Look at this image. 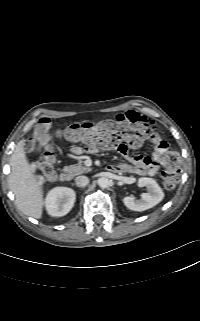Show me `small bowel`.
<instances>
[{
	"label": "small bowel",
	"mask_w": 200,
	"mask_h": 321,
	"mask_svg": "<svg viewBox=\"0 0 200 321\" xmlns=\"http://www.w3.org/2000/svg\"><path fill=\"white\" fill-rule=\"evenodd\" d=\"M120 116L126 118H141L138 113L134 111H128ZM154 148L153 155L143 156V155H136L134 157H130V164L128 163H121L118 165L111 166L110 169L114 172H122V173H130V174H137L141 176H154L157 174L161 165H164V157H165V150H166V142L163 141V146H152ZM76 153L80 152L79 148L75 149ZM127 154V151L124 152Z\"/></svg>",
	"instance_id": "1"
}]
</instances>
